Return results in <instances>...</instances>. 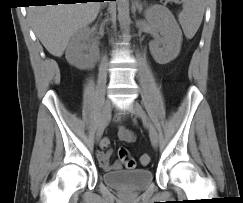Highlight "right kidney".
Listing matches in <instances>:
<instances>
[{
  "label": "right kidney",
  "instance_id": "ca27d5eb",
  "mask_svg": "<svg viewBox=\"0 0 243 203\" xmlns=\"http://www.w3.org/2000/svg\"><path fill=\"white\" fill-rule=\"evenodd\" d=\"M91 34L89 27H83L74 33L66 50L67 61L78 69L94 67L98 59V50L92 49L87 41Z\"/></svg>",
  "mask_w": 243,
  "mask_h": 203
}]
</instances>
